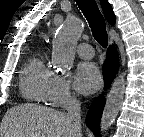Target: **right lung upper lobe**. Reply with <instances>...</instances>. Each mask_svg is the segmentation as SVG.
I'll return each instance as SVG.
<instances>
[{"instance_id":"obj_1","label":"right lung upper lobe","mask_w":144,"mask_h":137,"mask_svg":"<svg viewBox=\"0 0 144 137\" xmlns=\"http://www.w3.org/2000/svg\"><path fill=\"white\" fill-rule=\"evenodd\" d=\"M101 7L103 9L105 18L107 19L108 23L111 25L115 24V15L113 13L111 5L108 3L107 0H101Z\"/></svg>"}]
</instances>
